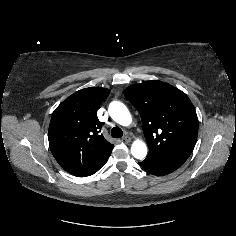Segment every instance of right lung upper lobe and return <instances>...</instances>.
Instances as JSON below:
<instances>
[{"mask_svg":"<svg viewBox=\"0 0 236 236\" xmlns=\"http://www.w3.org/2000/svg\"><path fill=\"white\" fill-rule=\"evenodd\" d=\"M110 91L90 87L64 100L53 112L48 140L51 152L68 173L92 175L111 154L114 147L102 134L97 108Z\"/></svg>","mask_w":236,"mask_h":236,"instance_id":"right-lung-upper-lobe-1","label":"right lung upper lobe"}]
</instances>
